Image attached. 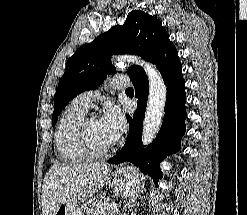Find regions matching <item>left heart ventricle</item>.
<instances>
[{"instance_id": "1", "label": "left heart ventricle", "mask_w": 247, "mask_h": 215, "mask_svg": "<svg viewBox=\"0 0 247 215\" xmlns=\"http://www.w3.org/2000/svg\"><path fill=\"white\" fill-rule=\"evenodd\" d=\"M88 129L90 132V135L94 141V143L101 148L107 147L111 144H113L108 136L106 135L105 131L100 125V121L97 119H92L89 122Z\"/></svg>"}]
</instances>
